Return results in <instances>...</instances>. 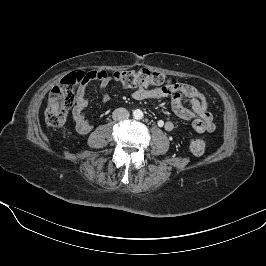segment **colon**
I'll return each instance as SVG.
<instances>
[{"label": "colon", "instance_id": "1", "mask_svg": "<svg viewBox=\"0 0 266 266\" xmlns=\"http://www.w3.org/2000/svg\"><path fill=\"white\" fill-rule=\"evenodd\" d=\"M114 78L127 88L168 85L167 79L162 74L146 68L116 72ZM86 81H88L87 74L83 72L70 73L51 90L45 110V120L50 126L63 127L66 125L68 110L74 104V88L79 83ZM205 146V141L199 137H193L188 141V148L194 155L203 154Z\"/></svg>", "mask_w": 266, "mask_h": 266}]
</instances>
